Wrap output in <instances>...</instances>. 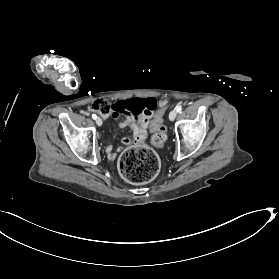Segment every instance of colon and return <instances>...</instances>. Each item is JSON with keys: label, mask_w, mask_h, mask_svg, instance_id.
Returning <instances> with one entry per match:
<instances>
[{"label": "colon", "mask_w": 279, "mask_h": 279, "mask_svg": "<svg viewBox=\"0 0 279 279\" xmlns=\"http://www.w3.org/2000/svg\"><path fill=\"white\" fill-rule=\"evenodd\" d=\"M157 107L153 99H131L117 103L96 100L91 110L103 116L113 113L131 114L133 116L153 112ZM152 142L162 147L167 139V129L163 124V112L159 111L151 123ZM119 169L122 177L128 182L142 184L151 181L158 174L160 161L156 153L148 148L136 147L126 150L120 157Z\"/></svg>", "instance_id": "colon-1"}]
</instances>
